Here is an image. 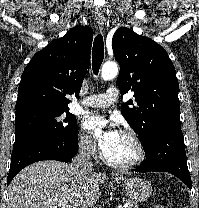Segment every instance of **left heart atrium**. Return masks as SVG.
Returning <instances> with one entry per match:
<instances>
[{
  "mask_svg": "<svg viewBox=\"0 0 199 208\" xmlns=\"http://www.w3.org/2000/svg\"><path fill=\"white\" fill-rule=\"evenodd\" d=\"M83 128L89 133H93L98 129L105 130V134L100 140V147L104 153L109 151L121 134L116 118L107 117L98 113H92L86 116L83 120Z\"/></svg>",
  "mask_w": 199,
  "mask_h": 208,
  "instance_id": "obj_1",
  "label": "left heart atrium"
}]
</instances>
